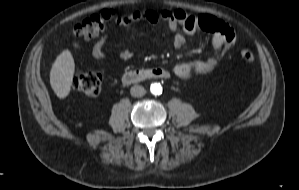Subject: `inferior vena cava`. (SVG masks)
<instances>
[{
  "instance_id": "1",
  "label": "inferior vena cava",
  "mask_w": 299,
  "mask_h": 190,
  "mask_svg": "<svg viewBox=\"0 0 299 190\" xmlns=\"http://www.w3.org/2000/svg\"><path fill=\"white\" fill-rule=\"evenodd\" d=\"M130 93L133 97H142L145 95L146 90L144 89V87H142L140 85H135V86L131 87Z\"/></svg>"
}]
</instances>
